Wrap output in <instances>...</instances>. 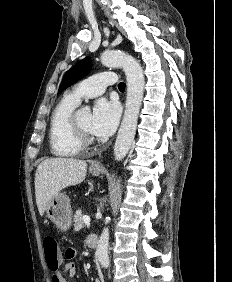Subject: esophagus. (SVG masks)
I'll use <instances>...</instances> for the list:
<instances>
[{
	"mask_svg": "<svg viewBox=\"0 0 232 282\" xmlns=\"http://www.w3.org/2000/svg\"><path fill=\"white\" fill-rule=\"evenodd\" d=\"M92 168H100L101 167V160H96L91 164Z\"/></svg>",
	"mask_w": 232,
	"mask_h": 282,
	"instance_id": "esophagus-1",
	"label": "esophagus"
}]
</instances>
